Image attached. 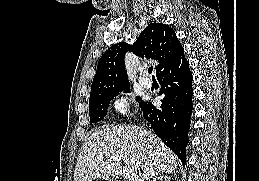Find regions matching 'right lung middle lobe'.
Instances as JSON below:
<instances>
[{
	"label": "right lung middle lobe",
	"mask_w": 259,
	"mask_h": 181,
	"mask_svg": "<svg viewBox=\"0 0 259 181\" xmlns=\"http://www.w3.org/2000/svg\"><path fill=\"white\" fill-rule=\"evenodd\" d=\"M129 93L130 89L120 88L113 91L105 92L99 95H96L89 100V115H90V123L98 122L107 114V108L109 106L110 101L116 97L119 92ZM138 101H141L140 97H137ZM145 102H140V106L142 107Z\"/></svg>",
	"instance_id": "1"
}]
</instances>
